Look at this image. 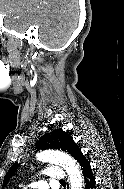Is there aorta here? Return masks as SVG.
Here are the masks:
<instances>
[{"instance_id":"1","label":"aorta","mask_w":124,"mask_h":189,"mask_svg":"<svg viewBox=\"0 0 124 189\" xmlns=\"http://www.w3.org/2000/svg\"><path fill=\"white\" fill-rule=\"evenodd\" d=\"M36 157L38 161L54 163L62 166L68 174L70 189H82V175L79 166L71 156L60 151L45 150L38 153Z\"/></svg>"}]
</instances>
